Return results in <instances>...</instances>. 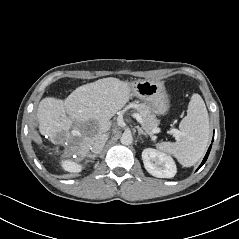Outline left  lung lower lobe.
I'll return each instance as SVG.
<instances>
[{"instance_id":"1","label":"left lung lower lobe","mask_w":239,"mask_h":239,"mask_svg":"<svg viewBox=\"0 0 239 239\" xmlns=\"http://www.w3.org/2000/svg\"><path fill=\"white\" fill-rule=\"evenodd\" d=\"M211 147H212V145H210V147H209V149H208V151H207V153H206V155H205V157H204V159H203L201 165L199 166V168L206 162V160H207V158H208V155H209V153H210ZM199 168H198V169H199Z\"/></svg>"}]
</instances>
